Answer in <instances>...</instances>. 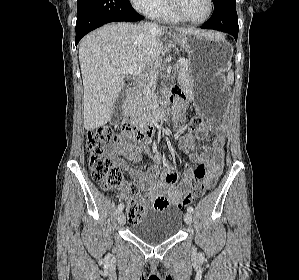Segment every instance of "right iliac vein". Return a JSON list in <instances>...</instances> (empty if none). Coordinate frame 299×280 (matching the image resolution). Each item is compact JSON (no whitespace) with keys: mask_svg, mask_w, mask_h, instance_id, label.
Returning <instances> with one entry per match:
<instances>
[{"mask_svg":"<svg viewBox=\"0 0 299 280\" xmlns=\"http://www.w3.org/2000/svg\"><path fill=\"white\" fill-rule=\"evenodd\" d=\"M126 221L125 215L122 211L118 213V223L119 225H124Z\"/></svg>","mask_w":299,"mask_h":280,"instance_id":"63e3f726","label":"right iliac vein"}]
</instances>
